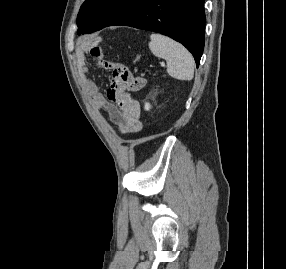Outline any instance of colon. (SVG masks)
I'll return each instance as SVG.
<instances>
[{
    "instance_id": "obj_1",
    "label": "colon",
    "mask_w": 286,
    "mask_h": 269,
    "mask_svg": "<svg viewBox=\"0 0 286 269\" xmlns=\"http://www.w3.org/2000/svg\"><path fill=\"white\" fill-rule=\"evenodd\" d=\"M111 71L113 88H116L121 95H125L124 110H143V101L138 100L137 91H142L143 83H147V78H134L136 76L120 63H116L115 68Z\"/></svg>"
}]
</instances>
